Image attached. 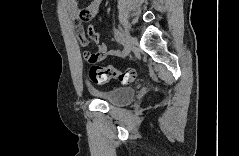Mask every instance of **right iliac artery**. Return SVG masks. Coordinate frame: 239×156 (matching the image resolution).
<instances>
[{
    "instance_id": "obj_1",
    "label": "right iliac artery",
    "mask_w": 239,
    "mask_h": 156,
    "mask_svg": "<svg viewBox=\"0 0 239 156\" xmlns=\"http://www.w3.org/2000/svg\"><path fill=\"white\" fill-rule=\"evenodd\" d=\"M115 36H116L117 40H118L123 46H125V39H124L122 33H121L118 29H115Z\"/></svg>"
}]
</instances>
